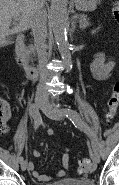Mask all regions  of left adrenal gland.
Segmentation results:
<instances>
[{"label": "left adrenal gland", "instance_id": "left-adrenal-gland-1", "mask_svg": "<svg viewBox=\"0 0 119 185\" xmlns=\"http://www.w3.org/2000/svg\"><path fill=\"white\" fill-rule=\"evenodd\" d=\"M73 28H75V24H73Z\"/></svg>", "mask_w": 119, "mask_h": 185}]
</instances>
